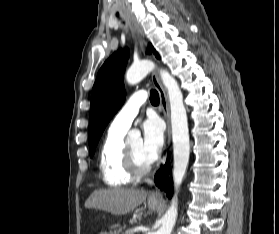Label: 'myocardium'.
<instances>
[{
  "mask_svg": "<svg viewBox=\"0 0 279 234\" xmlns=\"http://www.w3.org/2000/svg\"><path fill=\"white\" fill-rule=\"evenodd\" d=\"M124 159L125 168L132 179L144 177L151 171L153 166V161H150L145 165L140 164L129 145H124Z\"/></svg>",
  "mask_w": 279,
  "mask_h": 234,
  "instance_id": "1",
  "label": "myocardium"
}]
</instances>
